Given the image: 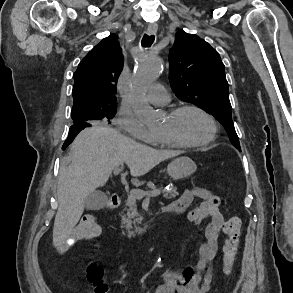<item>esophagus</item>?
I'll return each mask as SVG.
<instances>
[{
    "instance_id": "34e87169",
    "label": "esophagus",
    "mask_w": 293,
    "mask_h": 293,
    "mask_svg": "<svg viewBox=\"0 0 293 293\" xmlns=\"http://www.w3.org/2000/svg\"><path fill=\"white\" fill-rule=\"evenodd\" d=\"M157 29H158V26H157L156 24H150V25H148V27H147V33H148L149 35L156 34Z\"/></svg>"
}]
</instances>
